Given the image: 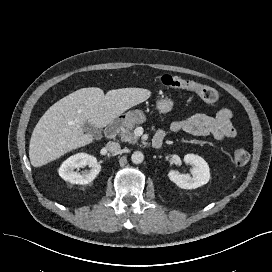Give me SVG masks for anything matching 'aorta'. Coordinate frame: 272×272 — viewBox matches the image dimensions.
<instances>
[{
    "label": "aorta",
    "mask_w": 272,
    "mask_h": 272,
    "mask_svg": "<svg viewBox=\"0 0 272 272\" xmlns=\"http://www.w3.org/2000/svg\"><path fill=\"white\" fill-rule=\"evenodd\" d=\"M131 160L134 164H140L144 160V155L141 151H135L131 156Z\"/></svg>",
    "instance_id": "obj_1"
}]
</instances>
